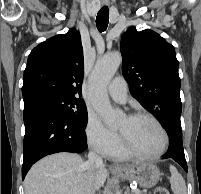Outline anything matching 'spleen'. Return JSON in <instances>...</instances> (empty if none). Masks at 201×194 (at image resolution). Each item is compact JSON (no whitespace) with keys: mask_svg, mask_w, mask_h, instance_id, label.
<instances>
[{"mask_svg":"<svg viewBox=\"0 0 201 194\" xmlns=\"http://www.w3.org/2000/svg\"><path fill=\"white\" fill-rule=\"evenodd\" d=\"M170 172H171L170 183L173 193L187 194L186 183L182 175L179 174V172L173 165H170Z\"/></svg>","mask_w":201,"mask_h":194,"instance_id":"spleen-1","label":"spleen"}]
</instances>
